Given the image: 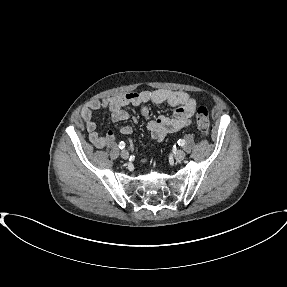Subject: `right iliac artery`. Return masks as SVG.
<instances>
[{"mask_svg":"<svg viewBox=\"0 0 287 287\" xmlns=\"http://www.w3.org/2000/svg\"><path fill=\"white\" fill-rule=\"evenodd\" d=\"M119 148H120V149L125 148V143H124L123 141H121V142L119 143Z\"/></svg>","mask_w":287,"mask_h":287,"instance_id":"82829eb1","label":"right iliac artery"}]
</instances>
